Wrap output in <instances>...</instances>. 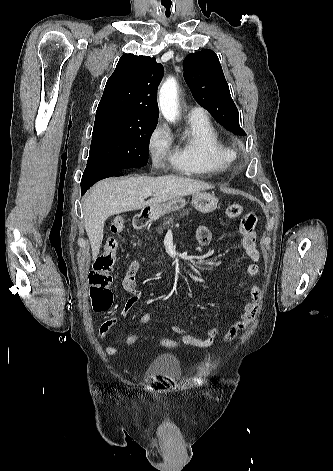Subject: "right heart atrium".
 <instances>
[{
    "instance_id": "obj_1",
    "label": "right heart atrium",
    "mask_w": 333,
    "mask_h": 471,
    "mask_svg": "<svg viewBox=\"0 0 333 471\" xmlns=\"http://www.w3.org/2000/svg\"><path fill=\"white\" fill-rule=\"evenodd\" d=\"M171 138L169 130L158 123L148 136L147 148L155 166L160 167L169 156Z\"/></svg>"
}]
</instances>
